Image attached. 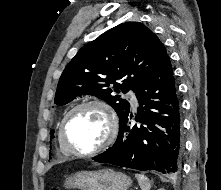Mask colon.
Segmentation results:
<instances>
[{"label":"colon","mask_w":221,"mask_h":190,"mask_svg":"<svg viewBox=\"0 0 221 190\" xmlns=\"http://www.w3.org/2000/svg\"><path fill=\"white\" fill-rule=\"evenodd\" d=\"M50 190H58V188H56V187H53V188H51Z\"/></svg>","instance_id":"colon-1"}]
</instances>
